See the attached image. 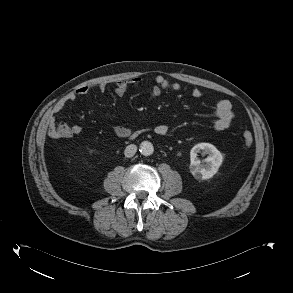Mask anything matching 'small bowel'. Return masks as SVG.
I'll list each match as a JSON object with an SVG mask.
<instances>
[{
	"label": "small bowel",
	"instance_id": "c3829d8e",
	"mask_svg": "<svg viewBox=\"0 0 293 293\" xmlns=\"http://www.w3.org/2000/svg\"><path fill=\"white\" fill-rule=\"evenodd\" d=\"M142 82L141 78H134L131 80H125V81H119L115 85V93L118 96H123L127 90L131 86H137ZM107 88L105 83H100L97 85V89L101 92L105 91ZM181 90V85L178 82H173L164 77L163 75H157L154 79V83L151 86L149 90V96L151 98H155L159 96L163 91H180ZM90 92V87L89 86H82L78 88L77 90L70 92L67 94L63 99H61L51 110L49 121L51 125H53L54 122V115L60 113L65 105L69 102H73L77 99L79 96L86 95ZM192 95L196 98H199L202 96V91L201 89L195 87L192 89ZM214 116H215V121H214V128L217 131H223L227 128L230 127L232 124L233 118H234V113L232 110V105L230 101L226 99H218L215 103L214 107ZM114 132L118 137L124 138L128 137L131 134L130 129L124 127V126H114ZM82 131V128L80 125H73L70 128L69 134L66 136L71 137L74 135L80 134ZM155 133L158 135H166L169 131V128L166 124H158L155 129ZM53 137H60L51 134Z\"/></svg>",
	"mask_w": 293,
	"mask_h": 293
}]
</instances>
